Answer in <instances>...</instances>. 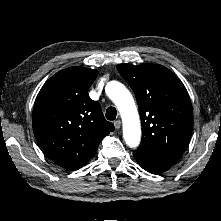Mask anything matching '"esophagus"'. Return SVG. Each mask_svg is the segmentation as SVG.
<instances>
[{
	"label": "esophagus",
	"instance_id": "esophagus-1",
	"mask_svg": "<svg viewBox=\"0 0 221 221\" xmlns=\"http://www.w3.org/2000/svg\"><path fill=\"white\" fill-rule=\"evenodd\" d=\"M114 126H115V129H120L121 128V121L120 120H116L114 121Z\"/></svg>",
	"mask_w": 221,
	"mask_h": 221
}]
</instances>
